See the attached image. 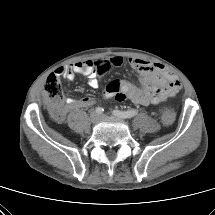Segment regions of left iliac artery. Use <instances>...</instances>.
Masks as SVG:
<instances>
[{
  "label": "left iliac artery",
  "instance_id": "left-iliac-artery-1",
  "mask_svg": "<svg viewBox=\"0 0 215 215\" xmlns=\"http://www.w3.org/2000/svg\"><path fill=\"white\" fill-rule=\"evenodd\" d=\"M112 114L121 119L132 118L138 114V110L132 109L128 111L113 110Z\"/></svg>",
  "mask_w": 215,
  "mask_h": 215
}]
</instances>
